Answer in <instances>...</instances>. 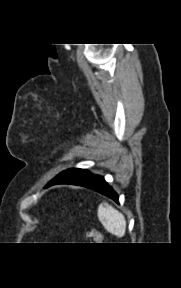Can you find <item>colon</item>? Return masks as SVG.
<instances>
[{
    "instance_id": "colon-1",
    "label": "colon",
    "mask_w": 181,
    "mask_h": 288,
    "mask_svg": "<svg viewBox=\"0 0 181 288\" xmlns=\"http://www.w3.org/2000/svg\"><path fill=\"white\" fill-rule=\"evenodd\" d=\"M87 238L92 240V241H98V240H101V235H100V233L97 230L90 229L87 232Z\"/></svg>"
}]
</instances>
